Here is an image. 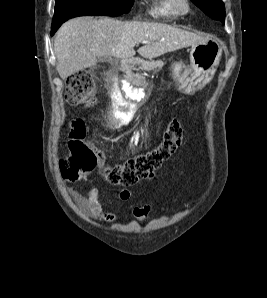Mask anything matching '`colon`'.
Listing matches in <instances>:
<instances>
[{"label": "colon", "instance_id": "1", "mask_svg": "<svg viewBox=\"0 0 267 298\" xmlns=\"http://www.w3.org/2000/svg\"><path fill=\"white\" fill-rule=\"evenodd\" d=\"M95 83L88 71L72 74L66 81L65 100L75 106L94 103ZM69 154L59 161L63 178L78 180L93 171L98 155L85 140V128L81 119H74L68 127ZM185 141L183 124L175 119L169 122L157 146L150 151L130 158L120 164L103 166L99 173L111 185L131 186L151 178Z\"/></svg>", "mask_w": 267, "mask_h": 298}]
</instances>
